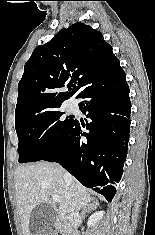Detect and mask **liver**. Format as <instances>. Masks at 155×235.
Wrapping results in <instances>:
<instances>
[{"instance_id": "obj_1", "label": "liver", "mask_w": 155, "mask_h": 235, "mask_svg": "<svg viewBox=\"0 0 155 235\" xmlns=\"http://www.w3.org/2000/svg\"><path fill=\"white\" fill-rule=\"evenodd\" d=\"M15 194L23 235H30L29 223L33 209L41 203H51L58 195L57 219L68 221L71 210H81L91 204L88 190L56 163L37 162L19 166L14 172Z\"/></svg>"}]
</instances>
